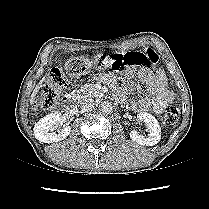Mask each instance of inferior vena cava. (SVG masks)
Returning <instances> with one entry per match:
<instances>
[{"label": "inferior vena cava", "mask_w": 209, "mask_h": 209, "mask_svg": "<svg viewBox=\"0 0 209 209\" xmlns=\"http://www.w3.org/2000/svg\"><path fill=\"white\" fill-rule=\"evenodd\" d=\"M79 104L81 109L88 111L93 108L94 100L92 98L86 97L81 99Z\"/></svg>", "instance_id": "obj_1"}]
</instances>
